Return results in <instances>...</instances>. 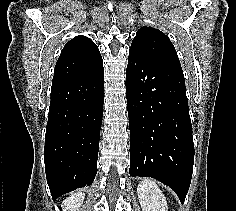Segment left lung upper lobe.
<instances>
[{
    "mask_svg": "<svg viewBox=\"0 0 236 211\" xmlns=\"http://www.w3.org/2000/svg\"><path fill=\"white\" fill-rule=\"evenodd\" d=\"M129 53L182 71L173 44L167 35L158 29L146 26L140 28L132 41Z\"/></svg>",
    "mask_w": 236,
    "mask_h": 211,
    "instance_id": "5c2ea615",
    "label": "left lung upper lobe"
}]
</instances>
